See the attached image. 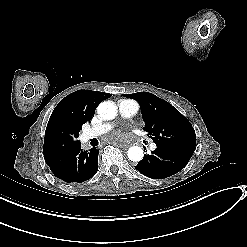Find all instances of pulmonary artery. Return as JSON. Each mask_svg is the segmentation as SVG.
I'll list each match as a JSON object with an SVG mask.
<instances>
[{"label":"pulmonary artery","mask_w":247,"mask_h":247,"mask_svg":"<svg viewBox=\"0 0 247 247\" xmlns=\"http://www.w3.org/2000/svg\"><path fill=\"white\" fill-rule=\"evenodd\" d=\"M119 109H120V113L123 116H132L137 111L136 107L129 105V104L121 105L119 106ZM113 127H114V124L110 120L105 121L103 125L97 124L94 126V128L83 130L80 133V141L82 143H86L90 139L94 138L96 134L101 135L104 133L105 130L110 131L113 129ZM148 147L150 148L152 152H157L159 150V145L157 143L150 142L148 144Z\"/></svg>","instance_id":"e3ab8cb5"}]
</instances>
